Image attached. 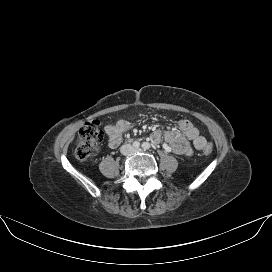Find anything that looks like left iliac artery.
<instances>
[{"label":"left iliac artery","instance_id":"left-iliac-artery-1","mask_svg":"<svg viewBox=\"0 0 272 272\" xmlns=\"http://www.w3.org/2000/svg\"><path fill=\"white\" fill-rule=\"evenodd\" d=\"M151 145L148 143V142H143L142 143V148L147 150V149H150Z\"/></svg>","mask_w":272,"mask_h":272}]
</instances>
